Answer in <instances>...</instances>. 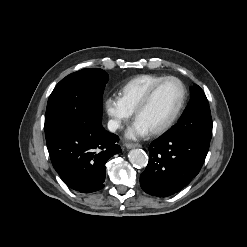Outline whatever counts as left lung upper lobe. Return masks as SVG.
Returning a JSON list of instances; mask_svg holds the SVG:
<instances>
[{"mask_svg":"<svg viewBox=\"0 0 247 247\" xmlns=\"http://www.w3.org/2000/svg\"><path fill=\"white\" fill-rule=\"evenodd\" d=\"M190 91V102L178 123L169 131L189 136L211 138L212 118L206 95L198 85L191 87Z\"/></svg>","mask_w":247,"mask_h":247,"instance_id":"left-lung-upper-lobe-1","label":"left lung upper lobe"}]
</instances>
